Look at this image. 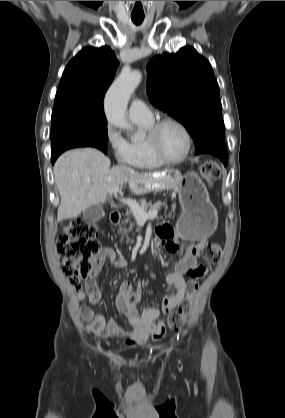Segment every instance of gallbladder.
I'll use <instances>...</instances> for the list:
<instances>
[{"label": "gallbladder", "mask_w": 285, "mask_h": 418, "mask_svg": "<svg viewBox=\"0 0 285 418\" xmlns=\"http://www.w3.org/2000/svg\"><path fill=\"white\" fill-rule=\"evenodd\" d=\"M83 217L86 221L94 222L104 217V211L101 205L94 204L83 211Z\"/></svg>", "instance_id": "gallbladder-1"}]
</instances>
